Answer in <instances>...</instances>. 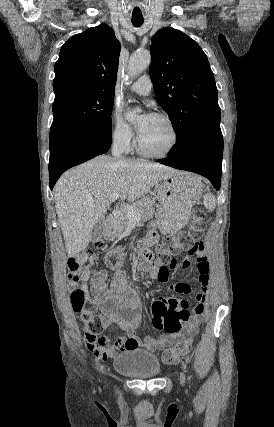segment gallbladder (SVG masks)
Here are the masks:
<instances>
[{
	"label": "gallbladder",
	"mask_w": 274,
	"mask_h": 427,
	"mask_svg": "<svg viewBox=\"0 0 274 427\" xmlns=\"http://www.w3.org/2000/svg\"><path fill=\"white\" fill-rule=\"evenodd\" d=\"M104 219H100L99 223H96L92 229V241H96L98 237L103 235L104 227H103Z\"/></svg>",
	"instance_id": "1"
}]
</instances>
